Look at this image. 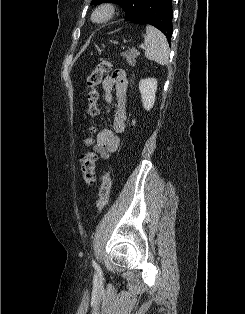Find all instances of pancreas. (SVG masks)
<instances>
[{
  "label": "pancreas",
  "instance_id": "obj_1",
  "mask_svg": "<svg viewBox=\"0 0 245 314\" xmlns=\"http://www.w3.org/2000/svg\"><path fill=\"white\" fill-rule=\"evenodd\" d=\"M140 53L135 50V49H132L130 50L126 55V61L128 62V64L130 66H134V63H135V58L139 55Z\"/></svg>",
  "mask_w": 245,
  "mask_h": 314
}]
</instances>
